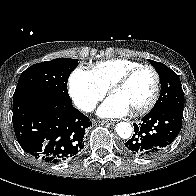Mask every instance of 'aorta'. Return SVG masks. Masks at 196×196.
Wrapping results in <instances>:
<instances>
[{
    "label": "aorta",
    "instance_id": "1",
    "mask_svg": "<svg viewBox=\"0 0 196 196\" xmlns=\"http://www.w3.org/2000/svg\"><path fill=\"white\" fill-rule=\"evenodd\" d=\"M115 130L122 139H128L132 134V126L127 122H119L116 125Z\"/></svg>",
    "mask_w": 196,
    "mask_h": 196
}]
</instances>
